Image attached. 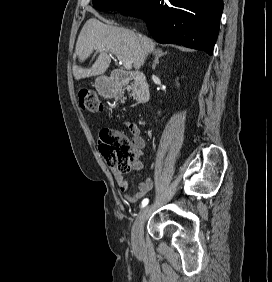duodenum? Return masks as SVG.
<instances>
[{
  "label": "duodenum",
  "mask_w": 272,
  "mask_h": 282,
  "mask_svg": "<svg viewBox=\"0 0 272 282\" xmlns=\"http://www.w3.org/2000/svg\"><path fill=\"white\" fill-rule=\"evenodd\" d=\"M133 81L135 85V99L137 103L144 104L150 99V89L145 76L142 73L114 72L104 83L102 90L107 97L114 99L121 92L125 82Z\"/></svg>",
  "instance_id": "1"
}]
</instances>
